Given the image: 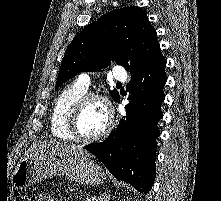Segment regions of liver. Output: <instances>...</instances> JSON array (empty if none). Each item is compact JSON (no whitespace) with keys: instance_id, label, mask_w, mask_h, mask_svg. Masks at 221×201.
I'll list each match as a JSON object with an SVG mask.
<instances>
[{"instance_id":"6515ba94","label":"liver","mask_w":221,"mask_h":201,"mask_svg":"<svg viewBox=\"0 0 221 201\" xmlns=\"http://www.w3.org/2000/svg\"><path fill=\"white\" fill-rule=\"evenodd\" d=\"M34 154H47L50 156H69V155H80L88 154L83 150L82 146L79 145H68L61 142H38L27 152V156Z\"/></svg>"}]
</instances>
